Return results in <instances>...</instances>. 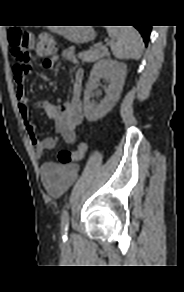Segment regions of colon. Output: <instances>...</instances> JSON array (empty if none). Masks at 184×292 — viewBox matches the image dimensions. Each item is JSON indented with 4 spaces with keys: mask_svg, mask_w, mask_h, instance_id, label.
<instances>
[{
    "mask_svg": "<svg viewBox=\"0 0 184 292\" xmlns=\"http://www.w3.org/2000/svg\"><path fill=\"white\" fill-rule=\"evenodd\" d=\"M9 44L11 53L16 60L19 71L28 70L29 54L28 48L33 42L31 34L19 28H11L9 30ZM56 51V44L53 38L44 34L41 35L36 44V53L41 57H49ZM86 152V145L81 143L75 150H61L58 159L62 165H68L81 160Z\"/></svg>",
    "mask_w": 184,
    "mask_h": 292,
    "instance_id": "colon-1",
    "label": "colon"
}]
</instances>
